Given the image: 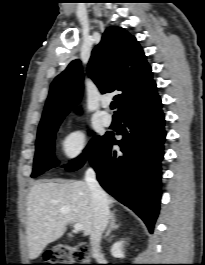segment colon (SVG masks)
<instances>
[{"label": "colon", "instance_id": "obj_1", "mask_svg": "<svg viewBox=\"0 0 205 265\" xmlns=\"http://www.w3.org/2000/svg\"><path fill=\"white\" fill-rule=\"evenodd\" d=\"M44 265H90L89 248L85 244L57 245L45 253Z\"/></svg>", "mask_w": 205, "mask_h": 265}]
</instances>
